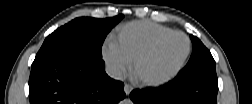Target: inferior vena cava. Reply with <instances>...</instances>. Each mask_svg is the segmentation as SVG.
Listing matches in <instances>:
<instances>
[{
    "instance_id": "1",
    "label": "inferior vena cava",
    "mask_w": 252,
    "mask_h": 104,
    "mask_svg": "<svg viewBox=\"0 0 252 104\" xmlns=\"http://www.w3.org/2000/svg\"><path fill=\"white\" fill-rule=\"evenodd\" d=\"M105 71L107 75L113 79L121 80L123 79V72L120 67L116 65L109 64L106 66Z\"/></svg>"
}]
</instances>
